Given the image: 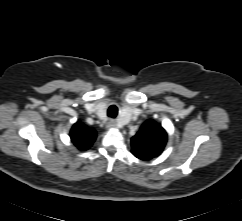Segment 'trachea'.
Returning <instances> with one entry per match:
<instances>
[{"mask_svg": "<svg viewBox=\"0 0 242 221\" xmlns=\"http://www.w3.org/2000/svg\"><path fill=\"white\" fill-rule=\"evenodd\" d=\"M117 113H118V110L114 105L110 106L107 111L108 117H111V118H115L117 116Z\"/></svg>", "mask_w": 242, "mask_h": 221, "instance_id": "trachea-1", "label": "trachea"}]
</instances>
